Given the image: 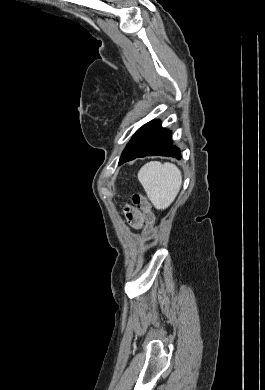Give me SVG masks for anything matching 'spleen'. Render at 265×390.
I'll return each mask as SVG.
<instances>
[{
	"label": "spleen",
	"instance_id": "spleen-1",
	"mask_svg": "<svg viewBox=\"0 0 265 390\" xmlns=\"http://www.w3.org/2000/svg\"><path fill=\"white\" fill-rule=\"evenodd\" d=\"M138 180L154 207L164 210L175 200L182 185V174L175 164L151 161L139 170Z\"/></svg>",
	"mask_w": 265,
	"mask_h": 390
}]
</instances>
